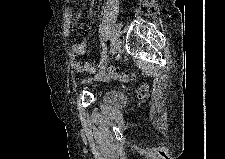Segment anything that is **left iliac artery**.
Listing matches in <instances>:
<instances>
[{
	"mask_svg": "<svg viewBox=\"0 0 225 159\" xmlns=\"http://www.w3.org/2000/svg\"><path fill=\"white\" fill-rule=\"evenodd\" d=\"M114 42H115V40L113 38H111L108 46L111 48L114 45Z\"/></svg>",
	"mask_w": 225,
	"mask_h": 159,
	"instance_id": "obj_1",
	"label": "left iliac artery"
}]
</instances>
